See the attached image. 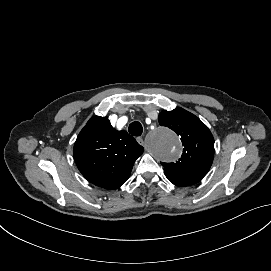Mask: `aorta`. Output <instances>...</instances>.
Returning <instances> with one entry per match:
<instances>
[{
  "label": "aorta",
  "instance_id": "1",
  "mask_svg": "<svg viewBox=\"0 0 271 271\" xmlns=\"http://www.w3.org/2000/svg\"><path fill=\"white\" fill-rule=\"evenodd\" d=\"M147 146L155 158L166 162L177 160L182 153L180 139L172 130L165 127L149 134Z\"/></svg>",
  "mask_w": 271,
  "mask_h": 271
}]
</instances>
